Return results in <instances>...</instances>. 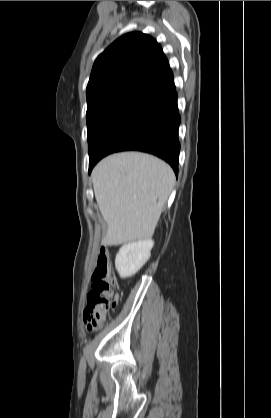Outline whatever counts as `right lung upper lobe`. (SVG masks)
Wrapping results in <instances>:
<instances>
[{"mask_svg":"<svg viewBox=\"0 0 271 418\" xmlns=\"http://www.w3.org/2000/svg\"><path fill=\"white\" fill-rule=\"evenodd\" d=\"M173 90V73L161 46L146 34L132 32L98 56L86 95L88 106L120 96L154 103Z\"/></svg>","mask_w":271,"mask_h":418,"instance_id":"right-lung-upper-lobe-1","label":"right lung upper lobe"}]
</instances>
